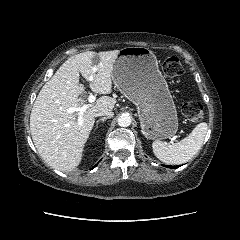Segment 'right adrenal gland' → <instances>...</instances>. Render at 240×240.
<instances>
[{"instance_id":"right-adrenal-gland-1","label":"right adrenal gland","mask_w":240,"mask_h":240,"mask_svg":"<svg viewBox=\"0 0 240 240\" xmlns=\"http://www.w3.org/2000/svg\"><path fill=\"white\" fill-rule=\"evenodd\" d=\"M108 119V117H102V118H100L99 120H97L96 121V126H98V124H99V122H104L105 120H107Z\"/></svg>"}]
</instances>
